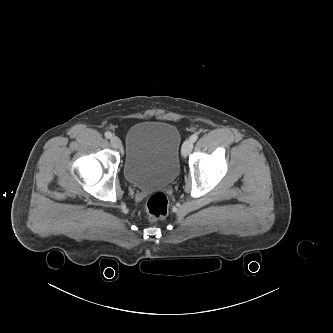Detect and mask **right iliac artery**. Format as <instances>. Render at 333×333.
Listing matches in <instances>:
<instances>
[{"label":"right iliac artery","mask_w":333,"mask_h":333,"mask_svg":"<svg viewBox=\"0 0 333 333\" xmlns=\"http://www.w3.org/2000/svg\"><path fill=\"white\" fill-rule=\"evenodd\" d=\"M105 137L108 138V139L112 138V133H110L108 131L105 132Z\"/></svg>","instance_id":"obj_1"}]
</instances>
